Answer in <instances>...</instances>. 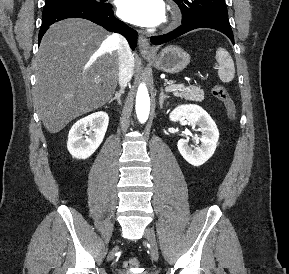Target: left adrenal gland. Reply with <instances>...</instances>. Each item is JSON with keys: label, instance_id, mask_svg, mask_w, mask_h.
Listing matches in <instances>:
<instances>
[{"label": "left adrenal gland", "instance_id": "a2214340", "mask_svg": "<svg viewBox=\"0 0 289 274\" xmlns=\"http://www.w3.org/2000/svg\"><path fill=\"white\" fill-rule=\"evenodd\" d=\"M170 96L166 95L163 91V89H161V92H160V96H159V105H160V108H163V104H164V100L165 99H168Z\"/></svg>", "mask_w": 289, "mask_h": 274}]
</instances>
